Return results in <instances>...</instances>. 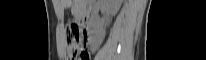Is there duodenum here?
<instances>
[{"mask_svg": "<svg viewBox=\"0 0 206 60\" xmlns=\"http://www.w3.org/2000/svg\"><path fill=\"white\" fill-rule=\"evenodd\" d=\"M89 23H90V20L88 19V15L85 14V15H83V17L81 19V23L79 24V27L80 28H87Z\"/></svg>", "mask_w": 206, "mask_h": 60, "instance_id": "410a0bca", "label": "duodenum"}]
</instances>
